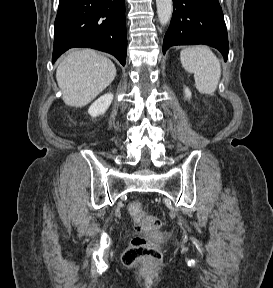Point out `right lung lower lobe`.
<instances>
[{"label":"right lung lower lobe","mask_w":273,"mask_h":288,"mask_svg":"<svg viewBox=\"0 0 273 288\" xmlns=\"http://www.w3.org/2000/svg\"><path fill=\"white\" fill-rule=\"evenodd\" d=\"M90 47L126 63L125 0H60L52 63L69 48Z\"/></svg>","instance_id":"obj_1"}]
</instances>
